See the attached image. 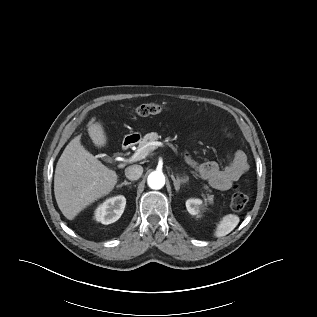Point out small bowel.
Instances as JSON below:
<instances>
[{
	"instance_id": "1",
	"label": "small bowel",
	"mask_w": 317,
	"mask_h": 317,
	"mask_svg": "<svg viewBox=\"0 0 317 317\" xmlns=\"http://www.w3.org/2000/svg\"><path fill=\"white\" fill-rule=\"evenodd\" d=\"M186 159L203 180L219 190L229 189L249 169L247 156L242 150L230 155L224 166L214 161L199 163L189 154Z\"/></svg>"
}]
</instances>
